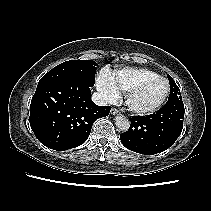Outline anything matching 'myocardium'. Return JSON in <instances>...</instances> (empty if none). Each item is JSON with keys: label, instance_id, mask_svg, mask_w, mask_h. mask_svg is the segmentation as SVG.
Returning <instances> with one entry per match:
<instances>
[{"label": "myocardium", "instance_id": "obj_1", "mask_svg": "<svg viewBox=\"0 0 211 211\" xmlns=\"http://www.w3.org/2000/svg\"><path fill=\"white\" fill-rule=\"evenodd\" d=\"M156 79H162V80H164V82L166 84V89H165L163 96L156 103H154L148 107H139V106L135 105L133 103L134 96L139 91H141L145 86H147L149 83H151L152 81H154ZM169 91H170V85H169V81L166 77H164L162 75H156L153 77H149V78L141 81L140 83H138L136 86L131 88L126 93L125 104L128 107V109L134 113L141 114V115L150 114V113H153L156 110H158L164 104L165 100L167 99V97L169 95Z\"/></svg>", "mask_w": 211, "mask_h": 211}]
</instances>
